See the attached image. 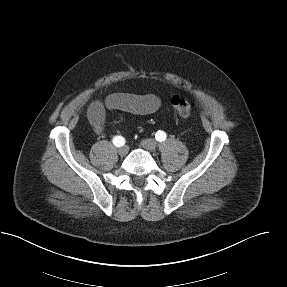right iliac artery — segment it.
<instances>
[{"mask_svg": "<svg viewBox=\"0 0 287 287\" xmlns=\"http://www.w3.org/2000/svg\"><path fill=\"white\" fill-rule=\"evenodd\" d=\"M112 141L117 147H121L125 144V139L122 136H115Z\"/></svg>", "mask_w": 287, "mask_h": 287, "instance_id": "82829eb1", "label": "right iliac artery"}]
</instances>
